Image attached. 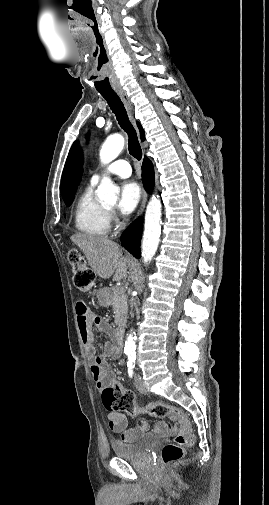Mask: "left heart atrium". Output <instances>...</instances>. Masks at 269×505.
<instances>
[{
    "label": "left heart atrium",
    "instance_id": "1",
    "mask_svg": "<svg viewBox=\"0 0 269 505\" xmlns=\"http://www.w3.org/2000/svg\"><path fill=\"white\" fill-rule=\"evenodd\" d=\"M141 199V188L133 181L124 182L120 188L118 210L122 215H129L138 206Z\"/></svg>",
    "mask_w": 269,
    "mask_h": 505
}]
</instances>
